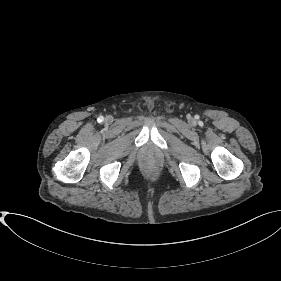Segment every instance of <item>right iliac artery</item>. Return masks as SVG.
<instances>
[{
	"label": "right iliac artery",
	"mask_w": 281,
	"mask_h": 281,
	"mask_svg": "<svg viewBox=\"0 0 281 281\" xmlns=\"http://www.w3.org/2000/svg\"><path fill=\"white\" fill-rule=\"evenodd\" d=\"M97 121H98V122H102V121H103V117H99V118L97 119Z\"/></svg>",
	"instance_id": "1"
}]
</instances>
